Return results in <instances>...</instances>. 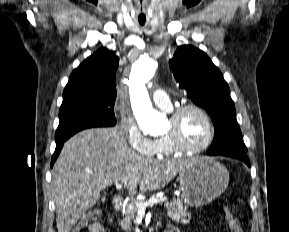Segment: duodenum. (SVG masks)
I'll return each mask as SVG.
<instances>
[{"instance_id":"1","label":"duodenum","mask_w":289,"mask_h":232,"mask_svg":"<svg viewBox=\"0 0 289 232\" xmlns=\"http://www.w3.org/2000/svg\"><path fill=\"white\" fill-rule=\"evenodd\" d=\"M124 206H125L124 198L121 195H117L113 201V207L115 211L117 212L121 211L124 208Z\"/></svg>"}]
</instances>
